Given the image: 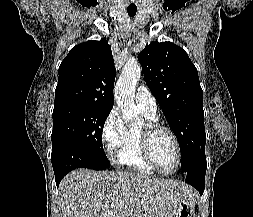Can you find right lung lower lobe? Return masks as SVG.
<instances>
[{
  "mask_svg": "<svg viewBox=\"0 0 253 217\" xmlns=\"http://www.w3.org/2000/svg\"><path fill=\"white\" fill-rule=\"evenodd\" d=\"M52 166L57 186L62 178L76 168H89L94 170H106L99 166L96 160L86 150L77 147H66L52 153Z\"/></svg>",
  "mask_w": 253,
  "mask_h": 217,
  "instance_id": "1",
  "label": "right lung lower lobe"
}]
</instances>
